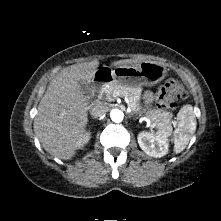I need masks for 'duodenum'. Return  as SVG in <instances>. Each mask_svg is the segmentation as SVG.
<instances>
[{
	"instance_id": "obj_1",
	"label": "duodenum",
	"mask_w": 221,
	"mask_h": 221,
	"mask_svg": "<svg viewBox=\"0 0 221 221\" xmlns=\"http://www.w3.org/2000/svg\"><path fill=\"white\" fill-rule=\"evenodd\" d=\"M111 81V74L107 71H100L96 73L94 77V85L96 88H100L105 83Z\"/></svg>"
}]
</instances>
